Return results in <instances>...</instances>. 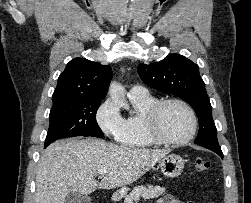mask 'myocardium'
<instances>
[{
  "mask_svg": "<svg viewBox=\"0 0 251 203\" xmlns=\"http://www.w3.org/2000/svg\"><path fill=\"white\" fill-rule=\"evenodd\" d=\"M179 104L183 106L191 118V130L187 136L179 140H172L166 138L159 130V118L162 109L168 104ZM144 127L148 137L157 144L167 146H179L191 141L198 130V118L192 106L185 100L180 98H167L154 102L145 112Z\"/></svg>",
  "mask_w": 251,
  "mask_h": 203,
  "instance_id": "myocardium-1",
  "label": "myocardium"
}]
</instances>
